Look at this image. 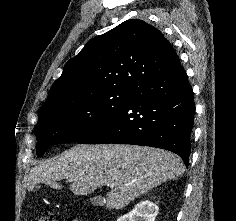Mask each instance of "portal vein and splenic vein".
Segmentation results:
<instances>
[{"label": "portal vein and splenic vein", "mask_w": 236, "mask_h": 221, "mask_svg": "<svg viewBox=\"0 0 236 221\" xmlns=\"http://www.w3.org/2000/svg\"><path fill=\"white\" fill-rule=\"evenodd\" d=\"M107 186L113 187V185L108 184Z\"/></svg>", "instance_id": "1"}]
</instances>
